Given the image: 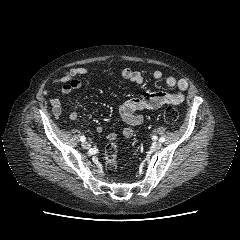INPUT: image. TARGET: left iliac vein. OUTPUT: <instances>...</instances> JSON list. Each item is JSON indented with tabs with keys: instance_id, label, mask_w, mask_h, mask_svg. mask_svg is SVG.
Masks as SVG:
<instances>
[{
	"instance_id": "left-iliac-vein-1",
	"label": "left iliac vein",
	"mask_w": 240,
	"mask_h": 240,
	"mask_svg": "<svg viewBox=\"0 0 240 240\" xmlns=\"http://www.w3.org/2000/svg\"><path fill=\"white\" fill-rule=\"evenodd\" d=\"M161 146H162V144H161L160 142H158V141H155V142L152 143V148H153L154 150L160 149Z\"/></svg>"
}]
</instances>
